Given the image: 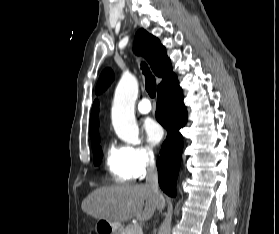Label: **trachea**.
Here are the masks:
<instances>
[{
  "label": "trachea",
  "instance_id": "3493384b",
  "mask_svg": "<svg viewBox=\"0 0 279 234\" xmlns=\"http://www.w3.org/2000/svg\"><path fill=\"white\" fill-rule=\"evenodd\" d=\"M141 68L146 78V82H145L146 91L148 92L150 97L154 98L156 95V80L145 63L141 64Z\"/></svg>",
  "mask_w": 279,
  "mask_h": 234
}]
</instances>
